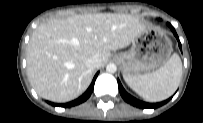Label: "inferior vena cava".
I'll use <instances>...</instances> for the list:
<instances>
[{"mask_svg": "<svg viewBox=\"0 0 203 123\" xmlns=\"http://www.w3.org/2000/svg\"><path fill=\"white\" fill-rule=\"evenodd\" d=\"M86 66L94 70L99 67V60L96 57H90L86 60Z\"/></svg>", "mask_w": 203, "mask_h": 123, "instance_id": "obj_1", "label": "inferior vena cava"}]
</instances>
